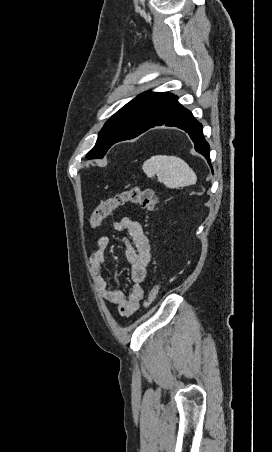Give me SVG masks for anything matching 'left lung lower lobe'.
<instances>
[{"instance_id":"1","label":"left lung lower lobe","mask_w":272,"mask_h":452,"mask_svg":"<svg viewBox=\"0 0 272 452\" xmlns=\"http://www.w3.org/2000/svg\"><path fill=\"white\" fill-rule=\"evenodd\" d=\"M163 125L177 127L187 132L188 135L191 137L192 141L194 142L195 150L198 153L202 154L207 159L209 165L211 166L209 157L210 147L204 138L202 124L199 123L194 118V116L189 110L184 108L178 102V98L175 95L165 105V107L159 113L153 124L148 129Z\"/></svg>"}]
</instances>
